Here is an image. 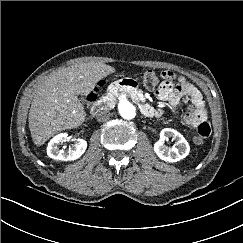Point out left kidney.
<instances>
[{"mask_svg": "<svg viewBox=\"0 0 243 243\" xmlns=\"http://www.w3.org/2000/svg\"><path fill=\"white\" fill-rule=\"evenodd\" d=\"M169 138L176 141V146L167 148L164 145V141ZM154 152L161 160L173 163L185 158L190 152V146L178 131L164 128L160 132V139L154 144Z\"/></svg>", "mask_w": 243, "mask_h": 243, "instance_id": "1", "label": "left kidney"}]
</instances>
